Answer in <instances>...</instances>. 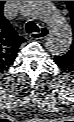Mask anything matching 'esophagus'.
<instances>
[{"instance_id":"obj_1","label":"esophagus","mask_w":74,"mask_h":122,"mask_svg":"<svg viewBox=\"0 0 74 122\" xmlns=\"http://www.w3.org/2000/svg\"><path fill=\"white\" fill-rule=\"evenodd\" d=\"M49 31L46 27H41L39 32L31 33L30 37L32 39H43L48 35Z\"/></svg>"}]
</instances>
